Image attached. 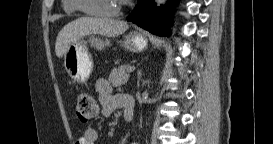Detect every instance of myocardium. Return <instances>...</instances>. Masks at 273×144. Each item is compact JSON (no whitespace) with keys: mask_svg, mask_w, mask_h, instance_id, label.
<instances>
[{"mask_svg":"<svg viewBox=\"0 0 273 144\" xmlns=\"http://www.w3.org/2000/svg\"><path fill=\"white\" fill-rule=\"evenodd\" d=\"M75 8L77 11H80L86 15H93V16H112L117 14L120 11L119 5H117L112 10H94L86 5V0H73Z\"/></svg>","mask_w":273,"mask_h":144,"instance_id":"1","label":"myocardium"}]
</instances>
